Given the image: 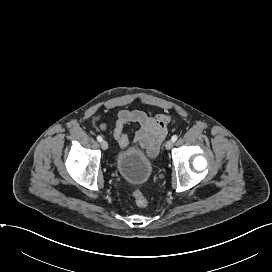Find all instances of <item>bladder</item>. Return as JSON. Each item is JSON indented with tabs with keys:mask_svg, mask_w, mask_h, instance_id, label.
<instances>
[{
	"mask_svg": "<svg viewBox=\"0 0 272 272\" xmlns=\"http://www.w3.org/2000/svg\"><path fill=\"white\" fill-rule=\"evenodd\" d=\"M118 173L129 183L143 184L153 172V162L140 149L130 147L120 151L115 160Z\"/></svg>",
	"mask_w": 272,
	"mask_h": 272,
	"instance_id": "obj_1",
	"label": "bladder"
}]
</instances>
